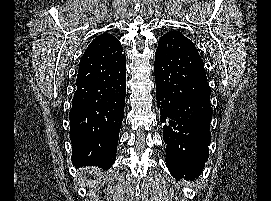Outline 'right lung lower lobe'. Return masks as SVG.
<instances>
[{
	"label": "right lung lower lobe",
	"mask_w": 271,
	"mask_h": 201,
	"mask_svg": "<svg viewBox=\"0 0 271 201\" xmlns=\"http://www.w3.org/2000/svg\"><path fill=\"white\" fill-rule=\"evenodd\" d=\"M103 35L80 60L69 119L72 163L107 170L116 159L123 121L126 62L118 39Z\"/></svg>",
	"instance_id": "obj_1"
}]
</instances>
